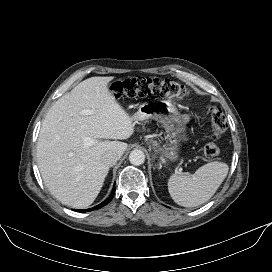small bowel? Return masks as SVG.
<instances>
[{
	"mask_svg": "<svg viewBox=\"0 0 272 272\" xmlns=\"http://www.w3.org/2000/svg\"><path fill=\"white\" fill-rule=\"evenodd\" d=\"M185 121H188L189 120V117L188 116H184L183 118Z\"/></svg>",
	"mask_w": 272,
	"mask_h": 272,
	"instance_id": "1",
	"label": "small bowel"
}]
</instances>
